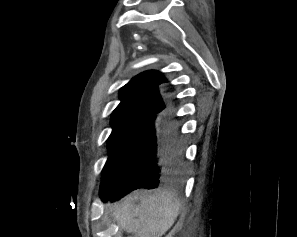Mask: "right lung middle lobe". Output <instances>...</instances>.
I'll use <instances>...</instances> for the list:
<instances>
[{
  "label": "right lung middle lobe",
  "instance_id": "right-lung-middle-lobe-1",
  "mask_svg": "<svg viewBox=\"0 0 297 237\" xmlns=\"http://www.w3.org/2000/svg\"><path fill=\"white\" fill-rule=\"evenodd\" d=\"M152 121L147 118H138L111 124L113 130L108 138L110 154L102 170L100 190L116 188L126 160Z\"/></svg>",
  "mask_w": 297,
  "mask_h": 237
}]
</instances>
